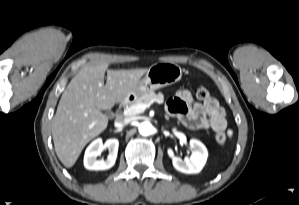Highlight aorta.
Listing matches in <instances>:
<instances>
[{"instance_id": "aorta-1", "label": "aorta", "mask_w": 299, "mask_h": 205, "mask_svg": "<svg viewBox=\"0 0 299 205\" xmlns=\"http://www.w3.org/2000/svg\"><path fill=\"white\" fill-rule=\"evenodd\" d=\"M139 133L143 136L151 135L153 132V126L150 122H142L138 127Z\"/></svg>"}]
</instances>
